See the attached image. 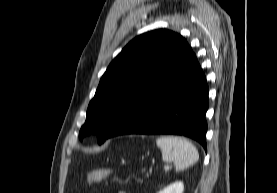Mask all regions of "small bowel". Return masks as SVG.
<instances>
[{
  "mask_svg": "<svg viewBox=\"0 0 277 193\" xmlns=\"http://www.w3.org/2000/svg\"><path fill=\"white\" fill-rule=\"evenodd\" d=\"M118 193H126L125 191H119Z\"/></svg>",
  "mask_w": 277,
  "mask_h": 193,
  "instance_id": "obj_1",
  "label": "small bowel"
}]
</instances>
